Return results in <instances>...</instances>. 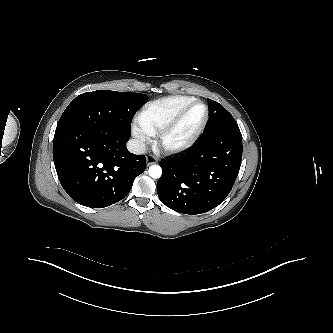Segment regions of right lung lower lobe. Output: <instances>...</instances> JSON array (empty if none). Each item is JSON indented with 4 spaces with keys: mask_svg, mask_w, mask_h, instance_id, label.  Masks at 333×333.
<instances>
[{
    "mask_svg": "<svg viewBox=\"0 0 333 333\" xmlns=\"http://www.w3.org/2000/svg\"><path fill=\"white\" fill-rule=\"evenodd\" d=\"M129 138L56 128L53 159L66 193L91 208L107 207L125 198L134 179L146 169L145 156L127 150Z\"/></svg>",
    "mask_w": 333,
    "mask_h": 333,
    "instance_id": "right-lung-lower-lobe-1",
    "label": "right lung lower lobe"
}]
</instances>
